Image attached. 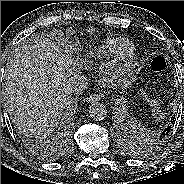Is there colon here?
Listing matches in <instances>:
<instances>
[{"label":"colon","mask_w":184,"mask_h":184,"mask_svg":"<svg viewBox=\"0 0 184 184\" xmlns=\"http://www.w3.org/2000/svg\"><path fill=\"white\" fill-rule=\"evenodd\" d=\"M166 60L161 56H157L152 60V68L156 72H163L166 68Z\"/></svg>","instance_id":"1"}]
</instances>
